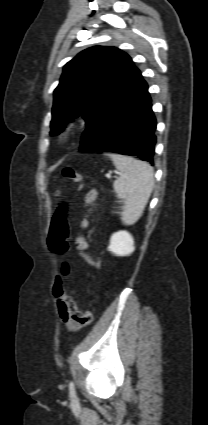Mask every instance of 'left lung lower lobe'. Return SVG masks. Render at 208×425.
I'll return each instance as SVG.
<instances>
[{
    "mask_svg": "<svg viewBox=\"0 0 208 425\" xmlns=\"http://www.w3.org/2000/svg\"><path fill=\"white\" fill-rule=\"evenodd\" d=\"M155 130L148 85L139 72L86 128L80 150L138 156L153 164Z\"/></svg>",
    "mask_w": 208,
    "mask_h": 425,
    "instance_id": "obj_1",
    "label": "left lung lower lobe"
}]
</instances>
